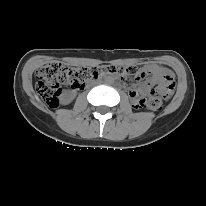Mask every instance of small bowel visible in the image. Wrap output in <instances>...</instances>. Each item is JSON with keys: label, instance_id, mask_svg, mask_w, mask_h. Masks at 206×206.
Returning <instances> with one entry per match:
<instances>
[{"label": "small bowel", "instance_id": "1", "mask_svg": "<svg viewBox=\"0 0 206 206\" xmlns=\"http://www.w3.org/2000/svg\"><path fill=\"white\" fill-rule=\"evenodd\" d=\"M150 72L153 75L155 81H162L167 75H171V72L165 68L158 65H152L149 67ZM145 90L144 87H141L139 90L137 89H130L129 94L134 100L137 98L143 91Z\"/></svg>", "mask_w": 206, "mask_h": 206}]
</instances>
